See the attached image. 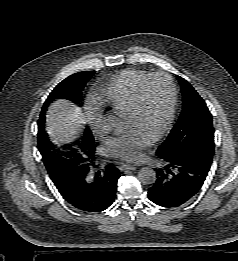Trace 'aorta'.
Listing matches in <instances>:
<instances>
[{
    "instance_id": "1",
    "label": "aorta",
    "mask_w": 238,
    "mask_h": 261,
    "mask_svg": "<svg viewBox=\"0 0 238 261\" xmlns=\"http://www.w3.org/2000/svg\"><path fill=\"white\" fill-rule=\"evenodd\" d=\"M126 122L119 116L109 115L107 117V128L110 130H122ZM138 178L143 184H152L156 180V172L150 167H143L138 172Z\"/></svg>"
}]
</instances>
